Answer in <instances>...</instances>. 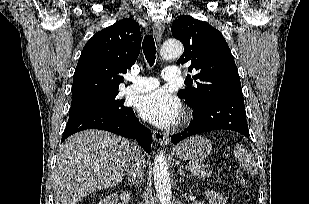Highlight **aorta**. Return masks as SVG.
Masks as SVG:
<instances>
[{
  "label": "aorta",
  "instance_id": "aorta-1",
  "mask_svg": "<svg viewBox=\"0 0 309 204\" xmlns=\"http://www.w3.org/2000/svg\"><path fill=\"white\" fill-rule=\"evenodd\" d=\"M183 45L178 40H167L163 43L160 55L165 60L175 59L182 55ZM154 185L161 204H171V183L164 152H159L153 163Z\"/></svg>",
  "mask_w": 309,
  "mask_h": 204
}]
</instances>
